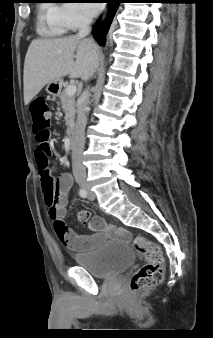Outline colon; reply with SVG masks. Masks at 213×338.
I'll list each match as a JSON object with an SVG mask.
<instances>
[{
    "mask_svg": "<svg viewBox=\"0 0 213 338\" xmlns=\"http://www.w3.org/2000/svg\"><path fill=\"white\" fill-rule=\"evenodd\" d=\"M30 111L34 119L33 131L36 141L39 144H45L50 137L49 127L52 121V116L45 100L42 98L33 100L30 104ZM35 158L48 215L52 222L58 225V231L64 232L66 229L61 226L56 219L55 181L50 166V155L43 153L41 149H37ZM102 227L103 224L99 221H95L91 225L92 229H100ZM132 245L141 255L143 263L131 277L130 289L132 291H139L147 287L159 285L164 278L165 271L164 257L161 248L144 236L134 237L132 239Z\"/></svg>",
    "mask_w": 213,
    "mask_h": 338,
    "instance_id": "obj_1",
    "label": "colon"
}]
</instances>
